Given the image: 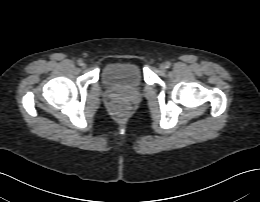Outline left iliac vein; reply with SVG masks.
I'll return each instance as SVG.
<instances>
[{
	"mask_svg": "<svg viewBox=\"0 0 260 202\" xmlns=\"http://www.w3.org/2000/svg\"><path fill=\"white\" fill-rule=\"evenodd\" d=\"M159 69H160L161 71H165V70H166V67H165L164 64H161V65L159 66Z\"/></svg>",
	"mask_w": 260,
	"mask_h": 202,
	"instance_id": "1",
	"label": "left iliac vein"
}]
</instances>
